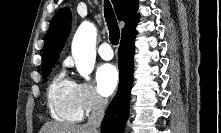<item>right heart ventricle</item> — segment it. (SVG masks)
<instances>
[{"instance_id":"right-heart-ventricle-1","label":"right heart ventricle","mask_w":221,"mask_h":133,"mask_svg":"<svg viewBox=\"0 0 221 133\" xmlns=\"http://www.w3.org/2000/svg\"><path fill=\"white\" fill-rule=\"evenodd\" d=\"M47 103L51 117L61 123H76L83 117L78 100L77 84L61 71L47 89Z\"/></svg>"}]
</instances>
